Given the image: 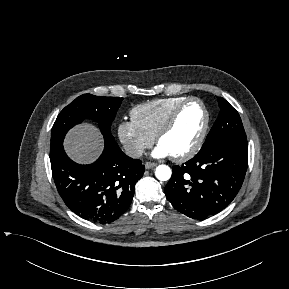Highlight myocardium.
Here are the masks:
<instances>
[{"instance_id":"f54148a6","label":"myocardium","mask_w":289,"mask_h":289,"mask_svg":"<svg viewBox=\"0 0 289 289\" xmlns=\"http://www.w3.org/2000/svg\"><path fill=\"white\" fill-rule=\"evenodd\" d=\"M192 102H196L198 103L203 112H204V124L202 127V130L197 138V140L195 141V143L184 153L178 154V155H170L171 158L177 162H183L186 160H189L190 158H192L193 156H195L198 151L201 149L206 136L208 134V130H209V126H210V113L209 110L207 109V106L205 105V103L197 98V97H188L187 99H185L183 102H181L175 109L174 111L170 114V116L168 117V119L166 120V122L163 124V126L160 128V130L158 131L157 135H156V142L159 145L161 139L168 134L172 128L174 127L180 113L182 112V110L190 103Z\"/></svg>"}]
</instances>
